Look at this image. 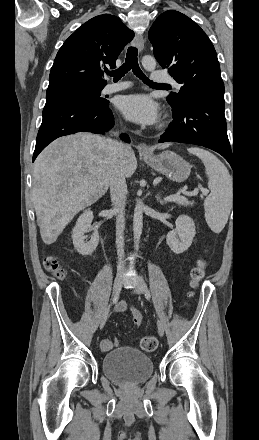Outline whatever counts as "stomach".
Masks as SVG:
<instances>
[{"label": "stomach", "mask_w": 259, "mask_h": 440, "mask_svg": "<svg viewBox=\"0 0 259 440\" xmlns=\"http://www.w3.org/2000/svg\"><path fill=\"white\" fill-rule=\"evenodd\" d=\"M145 162L155 171L172 181L183 182L191 172L190 164L172 151H163L153 157L144 156Z\"/></svg>", "instance_id": "obj_1"}]
</instances>
